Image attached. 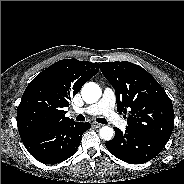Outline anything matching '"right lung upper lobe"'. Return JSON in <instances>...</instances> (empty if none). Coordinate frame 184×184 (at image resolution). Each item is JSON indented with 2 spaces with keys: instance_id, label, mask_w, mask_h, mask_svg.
Wrapping results in <instances>:
<instances>
[{
  "instance_id": "cb5924a9",
  "label": "right lung upper lobe",
  "mask_w": 184,
  "mask_h": 184,
  "mask_svg": "<svg viewBox=\"0 0 184 184\" xmlns=\"http://www.w3.org/2000/svg\"><path fill=\"white\" fill-rule=\"evenodd\" d=\"M99 67L98 63L64 59L39 73L28 84L17 109L21 138L72 121L65 117L64 107Z\"/></svg>"
}]
</instances>
